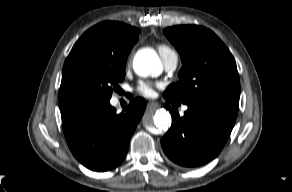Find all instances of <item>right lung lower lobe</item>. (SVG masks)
<instances>
[{
	"instance_id": "98d812e1",
	"label": "right lung lower lobe",
	"mask_w": 292,
	"mask_h": 192,
	"mask_svg": "<svg viewBox=\"0 0 292 192\" xmlns=\"http://www.w3.org/2000/svg\"><path fill=\"white\" fill-rule=\"evenodd\" d=\"M58 100L67 144L85 167L104 172L122 163L143 116L144 99L131 100L120 114L108 99L68 93Z\"/></svg>"
}]
</instances>
